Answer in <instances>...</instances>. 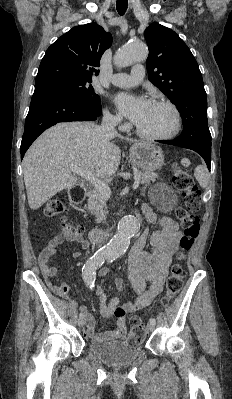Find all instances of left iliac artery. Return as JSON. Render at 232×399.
I'll return each mask as SVG.
<instances>
[{
    "label": "left iliac artery",
    "instance_id": "left-iliac-artery-1",
    "mask_svg": "<svg viewBox=\"0 0 232 399\" xmlns=\"http://www.w3.org/2000/svg\"><path fill=\"white\" fill-rule=\"evenodd\" d=\"M118 255H119L118 253H109L107 255L108 262H113L118 257ZM150 322L154 323L155 322V318L151 317L150 318Z\"/></svg>",
    "mask_w": 232,
    "mask_h": 399
}]
</instances>
